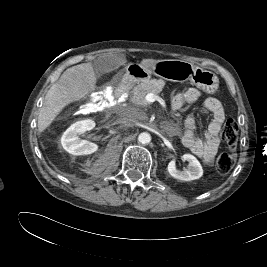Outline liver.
I'll return each mask as SVG.
<instances>
[{
  "label": "liver",
  "mask_w": 267,
  "mask_h": 267,
  "mask_svg": "<svg viewBox=\"0 0 267 267\" xmlns=\"http://www.w3.org/2000/svg\"><path fill=\"white\" fill-rule=\"evenodd\" d=\"M156 60L143 59L141 64L150 67ZM96 77L92 63L68 68L48 90L38 116V130L43 132L56 116L70 103L85 98L95 90Z\"/></svg>",
  "instance_id": "liver-1"
}]
</instances>
